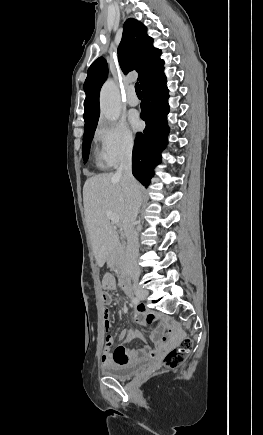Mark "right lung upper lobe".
I'll return each instance as SVG.
<instances>
[{"label": "right lung upper lobe", "mask_w": 263, "mask_h": 435, "mask_svg": "<svg viewBox=\"0 0 263 435\" xmlns=\"http://www.w3.org/2000/svg\"><path fill=\"white\" fill-rule=\"evenodd\" d=\"M160 55L161 50L153 47V38L147 35L146 27L133 18L127 19L118 47V61L122 71L127 74L136 70L142 87L164 69ZM107 74V63L103 57L96 59L88 69L84 83V130L97 125L100 114L99 93Z\"/></svg>", "instance_id": "1"}]
</instances>
